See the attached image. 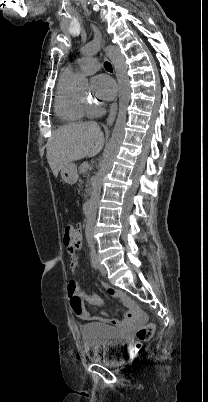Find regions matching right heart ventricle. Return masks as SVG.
Masks as SVG:
<instances>
[{"label":"right heart ventricle","mask_w":208,"mask_h":402,"mask_svg":"<svg viewBox=\"0 0 208 402\" xmlns=\"http://www.w3.org/2000/svg\"><path fill=\"white\" fill-rule=\"evenodd\" d=\"M75 76L64 72L58 82L55 97V113L67 126H82L87 123L88 114L80 94L72 90Z\"/></svg>","instance_id":"e07e8e85"}]
</instances>
